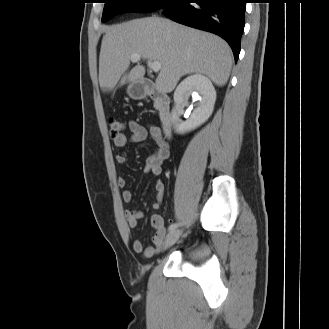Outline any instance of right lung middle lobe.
Instances as JSON below:
<instances>
[{
  "mask_svg": "<svg viewBox=\"0 0 329 329\" xmlns=\"http://www.w3.org/2000/svg\"><path fill=\"white\" fill-rule=\"evenodd\" d=\"M170 0H104L102 22L125 12L147 13L164 7ZM146 2V4H139Z\"/></svg>",
  "mask_w": 329,
  "mask_h": 329,
  "instance_id": "right-lung-middle-lobe-1",
  "label": "right lung middle lobe"
}]
</instances>
